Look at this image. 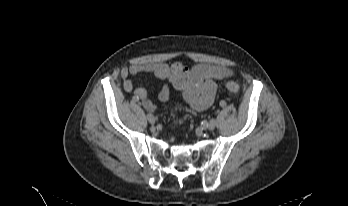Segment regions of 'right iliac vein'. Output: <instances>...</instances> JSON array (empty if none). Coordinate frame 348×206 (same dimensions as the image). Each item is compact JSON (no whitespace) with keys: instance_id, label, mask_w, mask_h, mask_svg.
<instances>
[{"instance_id":"63e3f726","label":"right iliac vein","mask_w":348,"mask_h":206,"mask_svg":"<svg viewBox=\"0 0 348 206\" xmlns=\"http://www.w3.org/2000/svg\"><path fill=\"white\" fill-rule=\"evenodd\" d=\"M147 120L150 124L154 125L155 124V118L151 113L147 114Z\"/></svg>"}]
</instances>
